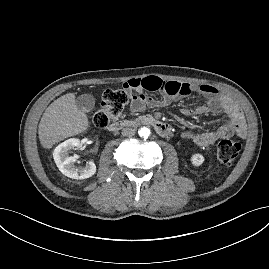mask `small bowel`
<instances>
[{
    "label": "small bowel",
    "instance_id": "c3829d8e",
    "mask_svg": "<svg viewBox=\"0 0 269 269\" xmlns=\"http://www.w3.org/2000/svg\"><path fill=\"white\" fill-rule=\"evenodd\" d=\"M124 86L130 91V108L133 112H141L145 107H163L172 100H180L192 93H197L206 99V103L194 110L184 109L185 114H226L228 117L227 122L217 130L208 132L187 131L184 133V137L190 139L198 147H209L231 135L245 137L247 134L246 122L241 109L229 97L221 94L214 86L164 81L155 76L143 79H130L124 83ZM146 92H160L161 97L154 98L148 96Z\"/></svg>",
    "mask_w": 269,
    "mask_h": 269
}]
</instances>
